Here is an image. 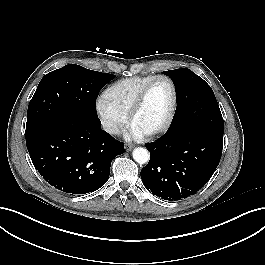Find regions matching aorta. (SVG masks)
<instances>
[{"mask_svg":"<svg viewBox=\"0 0 265 265\" xmlns=\"http://www.w3.org/2000/svg\"><path fill=\"white\" fill-rule=\"evenodd\" d=\"M133 159L139 164H145L150 159V154L147 149L137 147L132 152Z\"/></svg>","mask_w":265,"mask_h":265,"instance_id":"762f6f07","label":"aorta"}]
</instances>
